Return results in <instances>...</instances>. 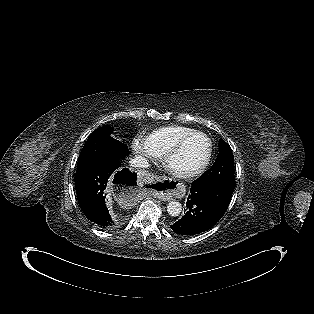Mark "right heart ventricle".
<instances>
[{
	"label": "right heart ventricle",
	"instance_id": "e07e8e85",
	"mask_svg": "<svg viewBox=\"0 0 314 314\" xmlns=\"http://www.w3.org/2000/svg\"><path fill=\"white\" fill-rule=\"evenodd\" d=\"M197 130L180 125L166 126L152 131L146 137L151 150L158 156H164L166 152L183 136Z\"/></svg>",
	"mask_w": 314,
	"mask_h": 314
}]
</instances>
